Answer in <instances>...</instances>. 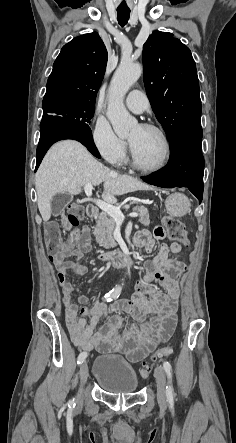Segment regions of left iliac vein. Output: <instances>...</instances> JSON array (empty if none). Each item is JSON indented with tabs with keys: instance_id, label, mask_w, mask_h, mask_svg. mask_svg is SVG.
<instances>
[{
	"instance_id": "left-iliac-vein-1",
	"label": "left iliac vein",
	"mask_w": 236,
	"mask_h": 443,
	"mask_svg": "<svg viewBox=\"0 0 236 443\" xmlns=\"http://www.w3.org/2000/svg\"><path fill=\"white\" fill-rule=\"evenodd\" d=\"M155 378L157 382V400L159 407L162 411H165L167 408V400H166V376L162 367L158 366L155 369Z\"/></svg>"
}]
</instances>
